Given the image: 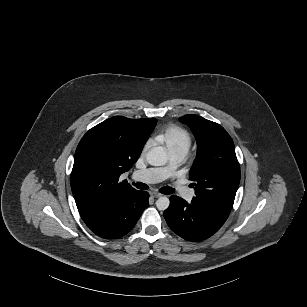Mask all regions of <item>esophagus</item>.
<instances>
[{
    "mask_svg": "<svg viewBox=\"0 0 307 307\" xmlns=\"http://www.w3.org/2000/svg\"><path fill=\"white\" fill-rule=\"evenodd\" d=\"M150 194H151V196L154 197V198H159V197L162 196V194H160V193H158V192H154V191L151 192Z\"/></svg>",
    "mask_w": 307,
    "mask_h": 307,
    "instance_id": "1",
    "label": "esophagus"
}]
</instances>
